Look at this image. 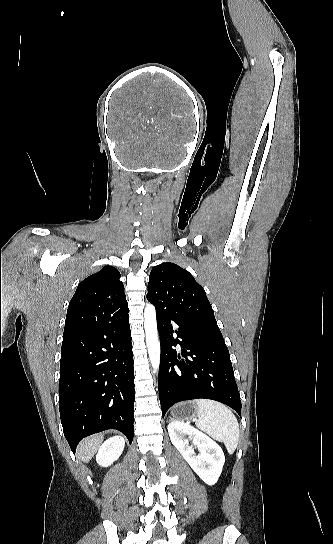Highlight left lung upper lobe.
<instances>
[{"mask_svg":"<svg viewBox=\"0 0 333 544\" xmlns=\"http://www.w3.org/2000/svg\"><path fill=\"white\" fill-rule=\"evenodd\" d=\"M147 299L161 310L219 330L203 287L174 263H162L151 270Z\"/></svg>","mask_w":333,"mask_h":544,"instance_id":"obj_1","label":"left lung upper lobe"}]
</instances>
